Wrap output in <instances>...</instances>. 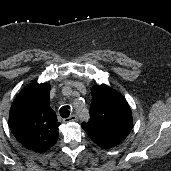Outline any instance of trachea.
Wrapping results in <instances>:
<instances>
[{"label":"trachea","mask_w":171,"mask_h":171,"mask_svg":"<svg viewBox=\"0 0 171 171\" xmlns=\"http://www.w3.org/2000/svg\"><path fill=\"white\" fill-rule=\"evenodd\" d=\"M69 109H70V107L67 106V105L61 107L60 110H59V113H60L61 117H63V118L69 117V115H70V110Z\"/></svg>","instance_id":"obj_1"}]
</instances>
